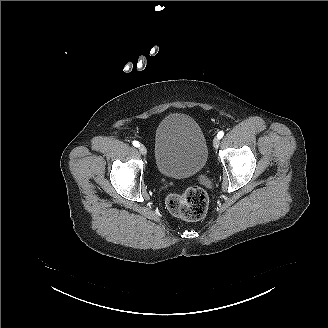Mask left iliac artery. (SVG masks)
I'll use <instances>...</instances> for the list:
<instances>
[{
    "label": "left iliac artery",
    "mask_w": 328,
    "mask_h": 328,
    "mask_svg": "<svg viewBox=\"0 0 328 328\" xmlns=\"http://www.w3.org/2000/svg\"><path fill=\"white\" fill-rule=\"evenodd\" d=\"M223 135H224V132L223 131H220V132H218L217 137L219 139H221L223 137Z\"/></svg>",
    "instance_id": "left-iliac-artery-1"
}]
</instances>
